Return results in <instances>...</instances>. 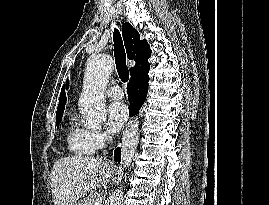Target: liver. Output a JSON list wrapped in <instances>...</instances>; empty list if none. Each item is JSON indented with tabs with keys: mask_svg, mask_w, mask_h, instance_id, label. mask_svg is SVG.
I'll return each mask as SVG.
<instances>
[{
	"mask_svg": "<svg viewBox=\"0 0 269 205\" xmlns=\"http://www.w3.org/2000/svg\"><path fill=\"white\" fill-rule=\"evenodd\" d=\"M113 173L112 164L102 158L71 156L58 159L51 171L54 205H74L92 189L106 186Z\"/></svg>",
	"mask_w": 269,
	"mask_h": 205,
	"instance_id": "6515ba94",
	"label": "liver"
}]
</instances>
